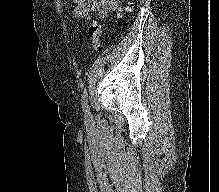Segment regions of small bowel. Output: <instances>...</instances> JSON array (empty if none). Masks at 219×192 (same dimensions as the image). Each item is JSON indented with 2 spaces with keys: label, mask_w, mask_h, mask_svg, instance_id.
Segmentation results:
<instances>
[{
  "label": "small bowel",
  "mask_w": 219,
  "mask_h": 192,
  "mask_svg": "<svg viewBox=\"0 0 219 192\" xmlns=\"http://www.w3.org/2000/svg\"><path fill=\"white\" fill-rule=\"evenodd\" d=\"M75 5L74 15L88 20L93 14L101 19H106L109 14L116 10L120 0H72Z\"/></svg>",
  "instance_id": "small-bowel-1"
}]
</instances>
